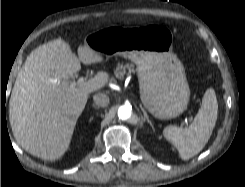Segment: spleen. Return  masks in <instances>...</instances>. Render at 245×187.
I'll list each match as a JSON object with an SVG mask.
<instances>
[{"mask_svg": "<svg viewBox=\"0 0 245 187\" xmlns=\"http://www.w3.org/2000/svg\"><path fill=\"white\" fill-rule=\"evenodd\" d=\"M218 103L215 91L209 88L202 99V106L188 128L167 126L163 135L178 150L183 160L198 154L208 142L215 127Z\"/></svg>", "mask_w": 245, "mask_h": 187, "instance_id": "3e777b00", "label": "spleen"}]
</instances>
